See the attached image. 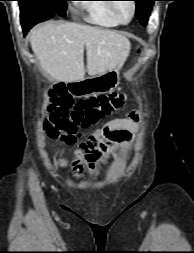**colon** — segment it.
I'll list each match as a JSON object with an SVG mask.
<instances>
[{
  "instance_id": "obj_1",
  "label": "colon",
  "mask_w": 194,
  "mask_h": 253,
  "mask_svg": "<svg viewBox=\"0 0 194 253\" xmlns=\"http://www.w3.org/2000/svg\"><path fill=\"white\" fill-rule=\"evenodd\" d=\"M53 105L46 122L49 134L60 137L68 144L79 137V129L87 128L100 119L121 108L126 96L121 92L101 94L82 99L75 104L65 87H58L51 92Z\"/></svg>"
}]
</instances>
